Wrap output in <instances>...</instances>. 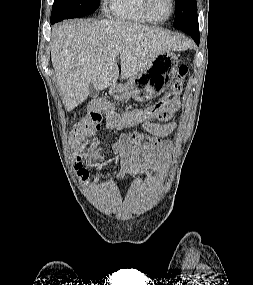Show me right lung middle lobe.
I'll use <instances>...</instances> for the list:
<instances>
[{
    "mask_svg": "<svg viewBox=\"0 0 253 285\" xmlns=\"http://www.w3.org/2000/svg\"><path fill=\"white\" fill-rule=\"evenodd\" d=\"M100 5L99 0H54L51 19L77 18L88 15Z\"/></svg>",
    "mask_w": 253,
    "mask_h": 285,
    "instance_id": "obj_1",
    "label": "right lung middle lobe"
}]
</instances>
